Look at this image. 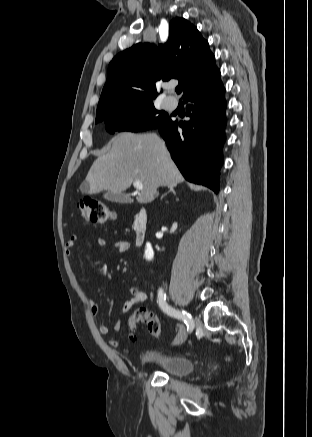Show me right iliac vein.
I'll return each mask as SVG.
<instances>
[{
    "mask_svg": "<svg viewBox=\"0 0 312 437\" xmlns=\"http://www.w3.org/2000/svg\"><path fill=\"white\" fill-rule=\"evenodd\" d=\"M193 325H194V321H193ZM184 338H185V329L181 327L180 333L177 337L175 344H180L181 342H183Z\"/></svg>",
    "mask_w": 312,
    "mask_h": 437,
    "instance_id": "63e3f726",
    "label": "right iliac vein"
}]
</instances>
